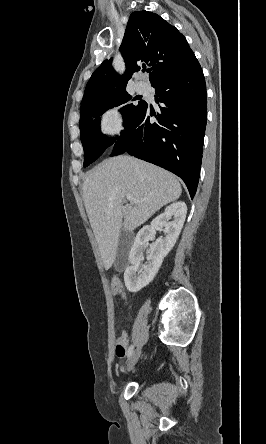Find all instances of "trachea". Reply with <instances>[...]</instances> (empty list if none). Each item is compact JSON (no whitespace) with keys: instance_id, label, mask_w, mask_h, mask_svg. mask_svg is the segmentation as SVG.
<instances>
[{"instance_id":"1","label":"trachea","mask_w":266,"mask_h":444,"mask_svg":"<svg viewBox=\"0 0 266 444\" xmlns=\"http://www.w3.org/2000/svg\"><path fill=\"white\" fill-rule=\"evenodd\" d=\"M146 71V68H143V72H145Z\"/></svg>"}]
</instances>
